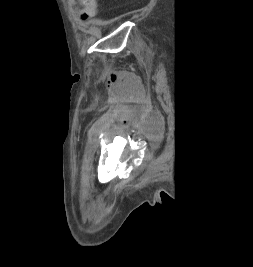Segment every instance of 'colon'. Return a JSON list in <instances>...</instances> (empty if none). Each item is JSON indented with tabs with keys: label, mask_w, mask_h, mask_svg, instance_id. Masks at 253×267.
Here are the masks:
<instances>
[{
	"label": "colon",
	"mask_w": 253,
	"mask_h": 267,
	"mask_svg": "<svg viewBox=\"0 0 253 267\" xmlns=\"http://www.w3.org/2000/svg\"><path fill=\"white\" fill-rule=\"evenodd\" d=\"M82 6L81 16L83 19H88L96 14V0H78Z\"/></svg>",
	"instance_id": "1"
}]
</instances>
